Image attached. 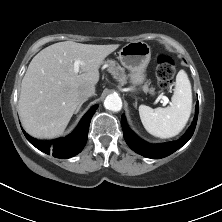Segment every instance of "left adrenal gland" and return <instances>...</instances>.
Listing matches in <instances>:
<instances>
[{"label":"left adrenal gland","instance_id":"left-adrenal-gland-1","mask_svg":"<svg viewBox=\"0 0 222 222\" xmlns=\"http://www.w3.org/2000/svg\"><path fill=\"white\" fill-rule=\"evenodd\" d=\"M137 106V102H135V107Z\"/></svg>","mask_w":222,"mask_h":222}]
</instances>
